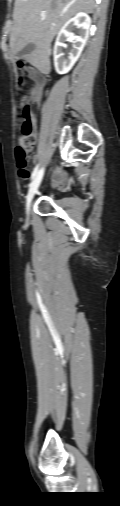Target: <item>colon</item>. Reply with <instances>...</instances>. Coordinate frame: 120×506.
<instances>
[{
    "label": "colon",
    "mask_w": 120,
    "mask_h": 506,
    "mask_svg": "<svg viewBox=\"0 0 120 506\" xmlns=\"http://www.w3.org/2000/svg\"><path fill=\"white\" fill-rule=\"evenodd\" d=\"M20 67L23 70L26 68L24 63H21ZM23 84L24 77H21L20 85L22 86ZM18 110V125L21 134L18 137L15 153L17 158L18 174L21 178L25 179L29 176V169L27 164L28 154L33 149L35 144L34 120L25 97H21L19 99Z\"/></svg>",
    "instance_id": "1"
}]
</instances>
